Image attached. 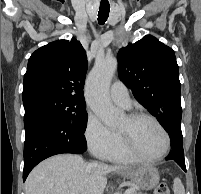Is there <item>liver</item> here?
Returning <instances> with one entry per match:
<instances>
[{
    "instance_id": "6515ba94",
    "label": "liver",
    "mask_w": 201,
    "mask_h": 194,
    "mask_svg": "<svg viewBox=\"0 0 201 194\" xmlns=\"http://www.w3.org/2000/svg\"><path fill=\"white\" fill-rule=\"evenodd\" d=\"M128 169L103 163H86L79 155L53 156L37 165L27 177L26 194H103L107 174Z\"/></svg>"
}]
</instances>
